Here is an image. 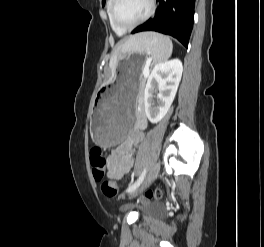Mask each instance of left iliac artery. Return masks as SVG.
<instances>
[{"label": "left iliac artery", "mask_w": 264, "mask_h": 247, "mask_svg": "<svg viewBox=\"0 0 264 247\" xmlns=\"http://www.w3.org/2000/svg\"><path fill=\"white\" fill-rule=\"evenodd\" d=\"M146 173H147V168H145L144 170H143V172L141 173V175H140V177L138 178V180L135 182V183H133V184H131L128 188H127V192H133V191H135L139 186H140V184L143 182V180H144V178H145V176H146Z\"/></svg>", "instance_id": "1"}]
</instances>
